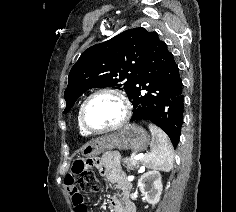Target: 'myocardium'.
<instances>
[{
	"label": "myocardium",
	"instance_id": "1",
	"mask_svg": "<svg viewBox=\"0 0 236 212\" xmlns=\"http://www.w3.org/2000/svg\"><path fill=\"white\" fill-rule=\"evenodd\" d=\"M102 94H109L114 97H116L122 104L123 107V113L120 118V120L115 123L114 125H111L109 127L101 128V129H93L88 126L85 120V110L88 105V103L95 97L102 95ZM132 112V105L131 102L129 101L128 97L119 89L112 88V87H103L95 90L91 94H89L83 103L81 104L80 110H79V122L83 129L88 133V134H103V133H109L116 131L120 128H122L129 120Z\"/></svg>",
	"mask_w": 236,
	"mask_h": 212
}]
</instances>
